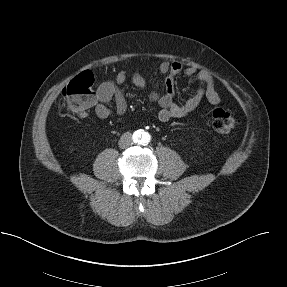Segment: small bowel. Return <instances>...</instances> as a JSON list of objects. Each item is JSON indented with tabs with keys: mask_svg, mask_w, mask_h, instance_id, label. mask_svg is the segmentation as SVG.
<instances>
[{
	"mask_svg": "<svg viewBox=\"0 0 287 287\" xmlns=\"http://www.w3.org/2000/svg\"><path fill=\"white\" fill-rule=\"evenodd\" d=\"M159 71L164 76L163 90L160 91L153 86L149 91V98L159 105L158 118L162 122L186 116L199 106L204 97L212 104H218L221 101L215 88L214 78L206 70H198L193 66L184 67L179 61H165L160 64ZM180 74L195 77L199 84L196 93L183 103L175 100V78ZM126 80V72L120 71L114 80H107L99 85L93 105L94 113L99 119H106L111 115L112 105L117 114L122 115L126 112L127 101L121 90ZM131 81L140 89H145L148 85L146 78L139 72L132 74ZM80 117L87 118L88 113L85 111L80 114Z\"/></svg>",
	"mask_w": 287,
	"mask_h": 287,
	"instance_id": "1",
	"label": "small bowel"
}]
</instances>
